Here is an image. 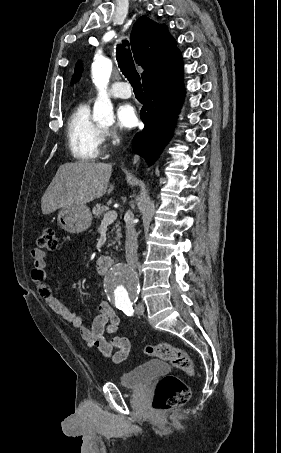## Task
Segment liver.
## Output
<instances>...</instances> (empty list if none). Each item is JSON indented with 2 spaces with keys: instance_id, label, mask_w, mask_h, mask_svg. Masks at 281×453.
Returning a JSON list of instances; mask_svg holds the SVG:
<instances>
[{
  "instance_id": "1",
  "label": "liver",
  "mask_w": 281,
  "mask_h": 453,
  "mask_svg": "<svg viewBox=\"0 0 281 453\" xmlns=\"http://www.w3.org/2000/svg\"><path fill=\"white\" fill-rule=\"evenodd\" d=\"M112 164L109 162H65L59 166L41 200L43 214H50L62 206L86 204L100 198L105 192H112L114 184L108 188Z\"/></svg>"
}]
</instances>
